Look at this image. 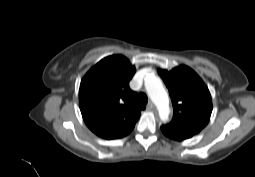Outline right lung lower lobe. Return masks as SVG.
Wrapping results in <instances>:
<instances>
[{"mask_svg":"<svg viewBox=\"0 0 255 177\" xmlns=\"http://www.w3.org/2000/svg\"><path fill=\"white\" fill-rule=\"evenodd\" d=\"M132 130H133V129H132ZM132 130H131V131H132ZM131 131H129L127 134H129ZM127 134H126V135H127ZM126 135H124V136H126Z\"/></svg>","mask_w":255,"mask_h":177,"instance_id":"98d812e1","label":"right lung lower lobe"}]
</instances>
